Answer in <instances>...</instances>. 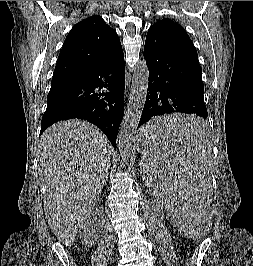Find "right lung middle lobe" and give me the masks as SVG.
Instances as JSON below:
<instances>
[{
	"mask_svg": "<svg viewBox=\"0 0 253 266\" xmlns=\"http://www.w3.org/2000/svg\"><path fill=\"white\" fill-rule=\"evenodd\" d=\"M61 85V84H60ZM58 86L59 85H55V86H51V89H50V92H49V94H48V97H49V95L56 89V88H58ZM48 97H47V100H48Z\"/></svg>",
	"mask_w": 253,
	"mask_h": 266,
	"instance_id": "dd1d6c3e",
	"label": "right lung middle lobe"
}]
</instances>
